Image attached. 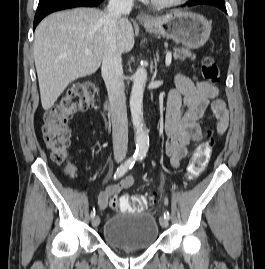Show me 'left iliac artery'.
Wrapping results in <instances>:
<instances>
[{
  "label": "left iliac artery",
  "instance_id": "left-iliac-artery-1",
  "mask_svg": "<svg viewBox=\"0 0 265 269\" xmlns=\"http://www.w3.org/2000/svg\"><path fill=\"white\" fill-rule=\"evenodd\" d=\"M141 160H142V158H141ZM164 218H166L167 220H169V218H170V214H169L168 211H165V212H164Z\"/></svg>",
  "mask_w": 265,
  "mask_h": 269
}]
</instances>
